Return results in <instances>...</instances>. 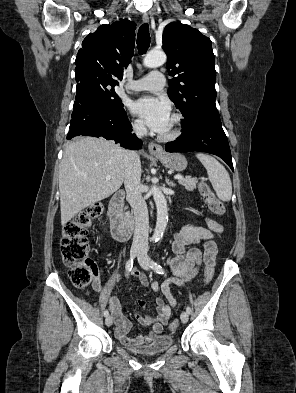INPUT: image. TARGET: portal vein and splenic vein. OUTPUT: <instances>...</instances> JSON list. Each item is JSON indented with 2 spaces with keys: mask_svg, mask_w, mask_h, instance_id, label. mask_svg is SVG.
<instances>
[{
  "mask_svg": "<svg viewBox=\"0 0 296 393\" xmlns=\"http://www.w3.org/2000/svg\"><path fill=\"white\" fill-rule=\"evenodd\" d=\"M182 178H183L182 175H175V176H174V179H176V180H180V179H182ZM110 179H111L110 176H107V177H106V180H107V181L110 180Z\"/></svg>",
  "mask_w": 296,
  "mask_h": 393,
  "instance_id": "portal-vein-and-splenic-vein-1",
  "label": "portal vein and splenic vein"
}]
</instances>
